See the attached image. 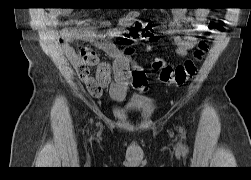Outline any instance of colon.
Returning a JSON list of instances; mask_svg holds the SVG:
<instances>
[{"instance_id": "5ec220e1", "label": "colon", "mask_w": 251, "mask_h": 180, "mask_svg": "<svg viewBox=\"0 0 251 180\" xmlns=\"http://www.w3.org/2000/svg\"><path fill=\"white\" fill-rule=\"evenodd\" d=\"M158 40V35L148 28L146 24L141 22L133 23L123 34L122 42L125 45H130L133 41H143L155 43ZM207 51V43L201 40L195 50L193 58L187 59L177 66H171L162 59H155L153 68L158 71L159 79L166 84L174 86L184 85L196 72V61L200 59ZM131 53V49L127 48L126 55Z\"/></svg>"}]
</instances>
